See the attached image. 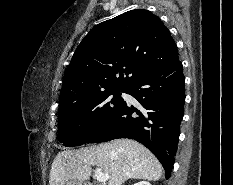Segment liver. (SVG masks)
Wrapping results in <instances>:
<instances>
[{
  "mask_svg": "<svg viewBox=\"0 0 233 185\" xmlns=\"http://www.w3.org/2000/svg\"><path fill=\"white\" fill-rule=\"evenodd\" d=\"M96 165L109 176L107 185H122L126 180L157 181L163 168L157 158L132 139H116L79 150H64L53 160L49 185H65L69 180L84 182Z\"/></svg>",
  "mask_w": 233,
  "mask_h": 185,
  "instance_id": "obj_1",
  "label": "liver"
}]
</instances>
